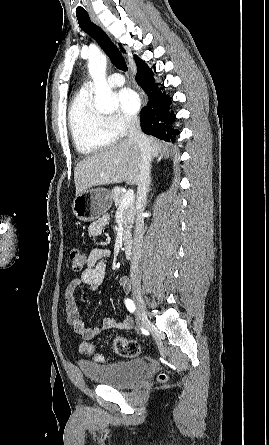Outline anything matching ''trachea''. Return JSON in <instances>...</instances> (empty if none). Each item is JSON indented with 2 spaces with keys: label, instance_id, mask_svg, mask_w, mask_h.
<instances>
[{
  "label": "trachea",
  "instance_id": "trachea-1",
  "mask_svg": "<svg viewBox=\"0 0 269 445\" xmlns=\"http://www.w3.org/2000/svg\"><path fill=\"white\" fill-rule=\"evenodd\" d=\"M77 20L80 28L96 40L103 51L108 55L113 65L122 71H127L128 68L125 59L119 49L111 41L108 35L90 20L89 15H77Z\"/></svg>",
  "mask_w": 269,
  "mask_h": 445
}]
</instances>
